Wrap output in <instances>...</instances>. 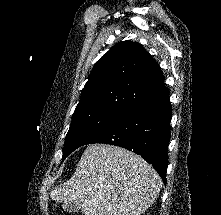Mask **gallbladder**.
Masks as SVG:
<instances>
[{
    "mask_svg": "<svg viewBox=\"0 0 221 215\" xmlns=\"http://www.w3.org/2000/svg\"><path fill=\"white\" fill-rule=\"evenodd\" d=\"M63 209L67 212L73 213V212H78L80 210V203H76L75 201L65 203L63 205Z\"/></svg>",
    "mask_w": 221,
    "mask_h": 215,
    "instance_id": "gallbladder-1",
    "label": "gallbladder"
}]
</instances>
